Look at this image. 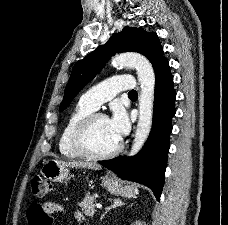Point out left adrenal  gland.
I'll list each match as a JSON object with an SVG mask.
<instances>
[{
  "instance_id": "1",
  "label": "left adrenal gland",
  "mask_w": 228,
  "mask_h": 225,
  "mask_svg": "<svg viewBox=\"0 0 228 225\" xmlns=\"http://www.w3.org/2000/svg\"><path fill=\"white\" fill-rule=\"evenodd\" d=\"M124 203H122V201H120V199H114L113 203H111L110 207H107V209H105V213H103V215H101V219L100 221H102V219H104L105 215H107V213H109V211H111V209H116V207H123Z\"/></svg>"
}]
</instances>
